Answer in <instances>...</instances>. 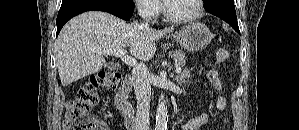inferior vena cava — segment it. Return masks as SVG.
Segmentation results:
<instances>
[{
  "instance_id": "inferior-vena-cava-1",
  "label": "inferior vena cava",
  "mask_w": 299,
  "mask_h": 130,
  "mask_svg": "<svg viewBox=\"0 0 299 130\" xmlns=\"http://www.w3.org/2000/svg\"><path fill=\"white\" fill-rule=\"evenodd\" d=\"M142 27H149V24L142 23ZM150 74L144 63L136 65L132 70V82L137 99L136 130H149V111L151 86L149 83Z\"/></svg>"
}]
</instances>
